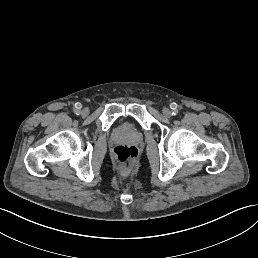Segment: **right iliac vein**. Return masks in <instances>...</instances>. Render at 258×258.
I'll return each instance as SVG.
<instances>
[{"label": "right iliac vein", "mask_w": 258, "mask_h": 258, "mask_svg": "<svg viewBox=\"0 0 258 258\" xmlns=\"http://www.w3.org/2000/svg\"><path fill=\"white\" fill-rule=\"evenodd\" d=\"M83 115H88V110H83Z\"/></svg>", "instance_id": "63e3f726"}]
</instances>
